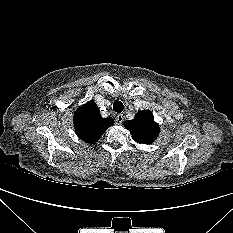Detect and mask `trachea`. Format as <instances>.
<instances>
[{"instance_id":"1","label":"trachea","mask_w":233,"mask_h":233,"mask_svg":"<svg viewBox=\"0 0 233 233\" xmlns=\"http://www.w3.org/2000/svg\"><path fill=\"white\" fill-rule=\"evenodd\" d=\"M124 109L123 103L121 101H115L113 104V110L117 113H121Z\"/></svg>"}]
</instances>
